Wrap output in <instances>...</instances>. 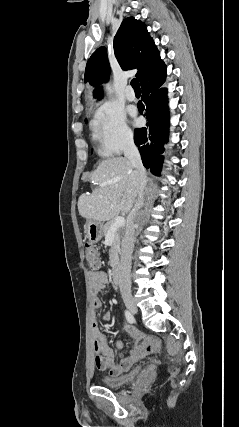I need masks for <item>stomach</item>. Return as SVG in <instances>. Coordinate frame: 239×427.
Wrapping results in <instances>:
<instances>
[{
	"label": "stomach",
	"instance_id": "obj_1",
	"mask_svg": "<svg viewBox=\"0 0 239 427\" xmlns=\"http://www.w3.org/2000/svg\"><path fill=\"white\" fill-rule=\"evenodd\" d=\"M103 223L96 220H87L85 224V233L87 239L91 243H97L101 240L104 235Z\"/></svg>",
	"mask_w": 239,
	"mask_h": 427
}]
</instances>
